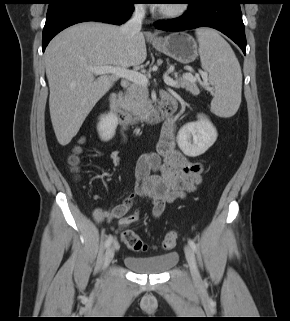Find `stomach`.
Segmentation results:
<instances>
[{
	"label": "stomach",
	"mask_w": 290,
	"mask_h": 321,
	"mask_svg": "<svg viewBox=\"0 0 290 321\" xmlns=\"http://www.w3.org/2000/svg\"><path fill=\"white\" fill-rule=\"evenodd\" d=\"M156 50L182 63L189 64L198 57L196 41L185 32H175L152 41Z\"/></svg>",
	"instance_id": "0dacf381"
}]
</instances>
